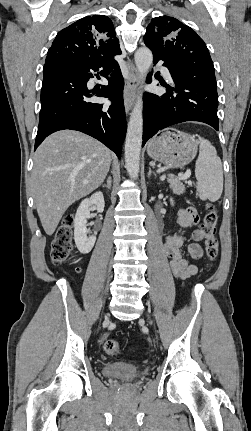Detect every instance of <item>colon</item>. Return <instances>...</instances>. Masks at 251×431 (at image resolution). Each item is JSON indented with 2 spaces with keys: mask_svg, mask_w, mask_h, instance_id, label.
Masks as SVG:
<instances>
[{
  "mask_svg": "<svg viewBox=\"0 0 251 431\" xmlns=\"http://www.w3.org/2000/svg\"><path fill=\"white\" fill-rule=\"evenodd\" d=\"M218 218L215 206L207 203L201 231L205 237L206 257L210 262H214L219 255V241L216 237ZM73 223V214H67L55 232L50 249L51 261L55 265L64 263L72 252ZM104 350L108 355L115 356L120 353L121 348L117 341L109 339L104 343Z\"/></svg>",
  "mask_w": 251,
  "mask_h": 431,
  "instance_id": "colon-1",
  "label": "colon"
}]
</instances>
